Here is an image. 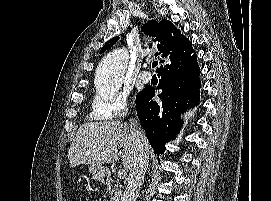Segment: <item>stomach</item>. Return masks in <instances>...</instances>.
Masks as SVG:
<instances>
[{
  "label": "stomach",
  "instance_id": "1",
  "mask_svg": "<svg viewBox=\"0 0 271 201\" xmlns=\"http://www.w3.org/2000/svg\"><path fill=\"white\" fill-rule=\"evenodd\" d=\"M88 171L92 179L101 181L104 179L107 170L102 165H91Z\"/></svg>",
  "mask_w": 271,
  "mask_h": 201
}]
</instances>
